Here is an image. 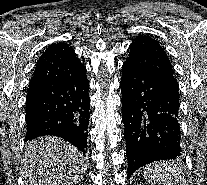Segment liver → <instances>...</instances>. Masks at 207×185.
<instances>
[{"label":"liver","instance_id":"1","mask_svg":"<svg viewBox=\"0 0 207 185\" xmlns=\"http://www.w3.org/2000/svg\"><path fill=\"white\" fill-rule=\"evenodd\" d=\"M24 157V185H77L85 175L83 153L60 137L30 141Z\"/></svg>","mask_w":207,"mask_h":185}]
</instances>
